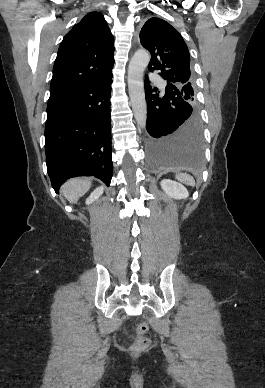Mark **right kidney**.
Returning <instances> with one entry per match:
<instances>
[{
  "instance_id": "obj_1",
  "label": "right kidney",
  "mask_w": 265,
  "mask_h": 388,
  "mask_svg": "<svg viewBox=\"0 0 265 388\" xmlns=\"http://www.w3.org/2000/svg\"><path fill=\"white\" fill-rule=\"evenodd\" d=\"M104 188H96L92 194H90L89 198L86 200V204H92V202H95V200H98L100 196L103 194Z\"/></svg>"
}]
</instances>
